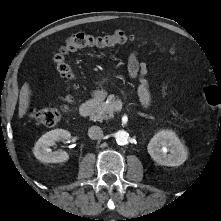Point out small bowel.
I'll use <instances>...</instances> for the list:
<instances>
[{
    "label": "small bowel",
    "mask_w": 221,
    "mask_h": 221,
    "mask_svg": "<svg viewBox=\"0 0 221 221\" xmlns=\"http://www.w3.org/2000/svg\"><path fill=\"white\" fill-rule=\"evenodd\" d=\"M128 74L131 79L140 78V83L137 88V92L141 103L144 106H148L151 101L149 87L147 81L144 79V76L147 73V65L145 62H140L138 59V53L133 51L130 53L128 58Z\"/></svg>",
    "instance_id": "1"
}]
</instances>
